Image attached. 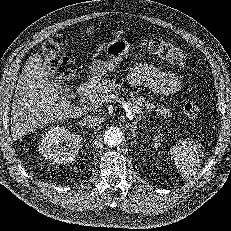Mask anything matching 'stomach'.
<instances>
[{"label": "stomach", "mask_w": 231, "mask_h": 231, "mask_svg": "<svg viewBox=\"0 0 231 231\" xmlns=\"http://www.w3.org/2000/svg\"><path fill=\"white\" fill-rule=\"evenodd\" d=\"M107 60H94L89 66V73L93 81H99L108 72L117 69L121 61L130 50V43L122 37H117L107 43L104 48Z\"/></svg>", "instance_id": "1"}]
</instances>
